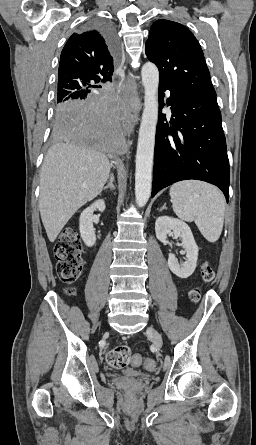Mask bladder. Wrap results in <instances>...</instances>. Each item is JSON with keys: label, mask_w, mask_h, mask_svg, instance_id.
<instances>
[{"label": "bladder", "mask_w": 256, "mask_h": 445, "mask_svg": "<svg viewBox=\"0 0 256 445\" xmlns=\"http://www.w3.org/2000/svg\"><path fill=\"white\" fill-rule=\"evenodd\" d=\"M124 374L129 377H141L142 376V373L140 371L132 369V368L124 370Z\"/></svg>", "instance_id": "obj_1"}]
</instances>
